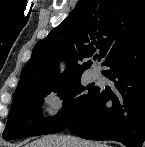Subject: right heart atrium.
Segmentation results:
<instances>
[{
	"instance_id": "obj_1",
	"label": "right heart atrium",
	"mask_w": 145,
	"mask_h": 147,
	"mask_svg": "<svg viewBox=\"0 0 145 147\" xmlns=\"http://www.w3.org/2000/svg\"><path fill=\"white\" fill-rule=\"evenodd\" d=\"M69 101V92L65 87H53L43 95V109L47 118L57 119L65 111Z\"/></svg>"
}]
</instances>
